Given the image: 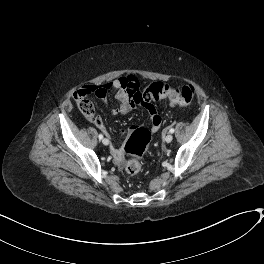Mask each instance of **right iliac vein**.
<instances>
[{"label":"right iliac vein","mask_w":264,"mask_h":264,"mask_svg":"<svg viewBox=\"0 0 264 264\" xmlns=\"http://www.w3.org/2000/svg\"><path fill=\"white\" fill-rule=\"evenodd\" d=\"M102 143H103L105 146H107V145L109 144V139L104 138V139L102 140Z\"/></svg>","instance_id":"obj_1"}]
</instances>
